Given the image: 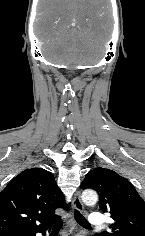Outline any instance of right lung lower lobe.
I'll list each match as a JSON object with an SVG mask.
<instances>
[{
  "label": "right lung lower lobe",
  "mask_w": 145,
  "mask_h": 236,
  "mask_svg": "<svg viewBox=\"0 0 145 236\" xmlns=\"http://www.w3.org/2000/svg\"><path fill=\"white\" fill-rule=\"evenodd\" d=\"M59 221H60V220H59ZM50 228H51V226L48 227L47 229L40 230V231H38V232H42V234L44 235V234L46 233V230H48V229H50ZM36 233H37V232H36ZM36 233H34V234H28V235H25V236H35Z\"/></svg>",
  "instance_id": "right-lung-lower-lobe-1"
}]
</instances>
